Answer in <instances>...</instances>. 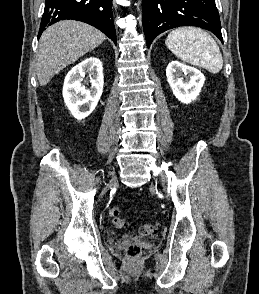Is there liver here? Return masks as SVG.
Returning <instances> with one entry per match:
<instances>
[{
    "instance_id": "liver-1",
    "label": "liver",
    "mask_w": 259,
    "mask_h": 294,
    "mask_svg": "<svg viewBox=\"0 0 259 294\" xmlns=\"http://www.w3.org/2000/svg\"><path fill=\"white\" fill-rule=\"evenodd\" d=\"M106 36L79 21L64 20L42 34L36 57L37 77L45 86L57 73L101 45Z\"/></svg>"
}]
</instances>
